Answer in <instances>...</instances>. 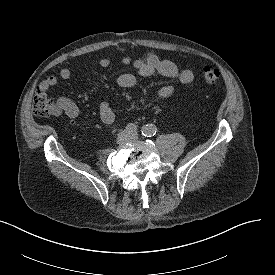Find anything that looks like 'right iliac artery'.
Returning <instances> with one entry per match:
<instances>
[{
  "label": "right iliac artery",
  "mask_w": 275,
  "mask_h": 275,
  "mask_svg": "<svg viewBox=\"0 0 275 275\" xmlns=\"http://www.w3.org/2000/svg\"><path fill=\"white\" fill-rule=\"evenodd\" d=\"M125 130L128 132V133H131V134H136L137 133V126L133 123H129L126 127H125Z\"/></svg>",
  "instance_id": "obj_1"
}]
</instances>
